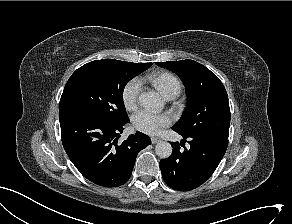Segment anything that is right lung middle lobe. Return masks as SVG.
Returning a JSON list of instances; mask_svg holds the SVG:
<instances>
[{
    "instance_id": "dd1d6c3e",
    "label": "right lung middle lobe",
    "mask_w": 292,
    "mask_h": 224,
    "mask_svg": "<svg viewBox=\"0 0 292 224\" xmlns=\"http://www.w3.org/2000/svg\"><path fill=\"white\" fill-rule=\"evenodd\" d=\"M144 70L136 63L114 59L89 62L69 78L59 111L79 109L107 124L121 123L128 119L123 103L124 87Z\"/></svg>"
}]
</instances>
